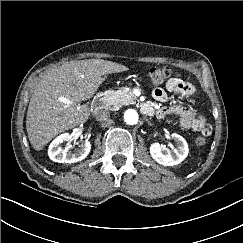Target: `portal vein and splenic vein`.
I'll return each mask as SVG.
<instances>
[{"label": "portal vein and splenic vein", "mask_w": 243, "mask_h": 243, "mask_svg": "<svg viewBox=\"0 0 243 243\" xmlns=\"http://www.w3.org/2000/svg\"><path fill=\"white\" fill-rule=\"evenodd\" d=\"M60 101L64 102V103H67V104H71V101L66 99V98H60Z\"/></svg>", "instance_id": "obj_1"}]
</instances>
